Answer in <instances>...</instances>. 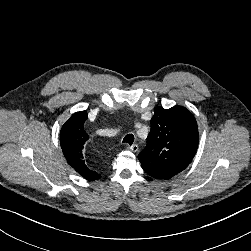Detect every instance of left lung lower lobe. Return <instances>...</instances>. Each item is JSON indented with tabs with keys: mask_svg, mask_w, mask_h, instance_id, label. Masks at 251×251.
Listing matches in <instances>:
<instances>
[{
	"mask_svg": "<svg viewBox=\"0 0 251 251\" xmlns=\"http://www.w3.org/2000/svg\"><path fill=\"white\" fill-rule=\"evenodd\" d=\"M142 168L146 173H148L150 176H152L156 179H169L175 175L172 173L155 171V170L149 169L147 167H142Z\"/></svg>",
	"mask_w": 251,
	"mask_h": 251,
	"instance_id": "0a47b994",
	"label": "left lung lower lobe"
}]
</instances>
